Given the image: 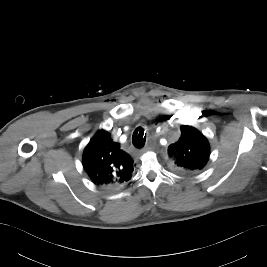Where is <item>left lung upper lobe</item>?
I'll use <instances>...</instances> for the list:
<instances>
[{
  "instance_id": "5c2ea615",
  "label": "left lung upper lobe",
  "mask_w": 267,
  "mask_h": 267,
  "mask_svg": "<svg viewBox=\"0 0 267 267\" xmlns=\"http://www.w3.org/2000/svg\"><path fill=\"white\" fill-rule=\"evenodd\" d=\"M181 137L169 146L170 156L175 160L176 171L185 174L200 173L210 156L206 137L196 128L182 125Z\"/></svg>"
}]
</instances>
